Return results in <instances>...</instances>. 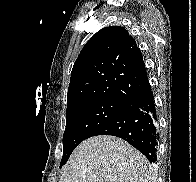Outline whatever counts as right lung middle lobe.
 <instances>
[{
    "mask_svg": "<svg viewBox=\"0 0 196 182\" xmlns=\"http://www.w3.org/2000/svg\"><path fill=\"white\" fill-rule=\"evenodd\" d=\"M129 107V103L112 99H99L68 110L66 112L63 157L60 167L67 162L78 144L93 136L99 128L126 111Z\"/></svg>",
    "mask_w": 196,
    "mask_h": 182,
    "instance_id": "dd1d6c3e",
    "label": "right lung middle lobe"
}]
</instances>
